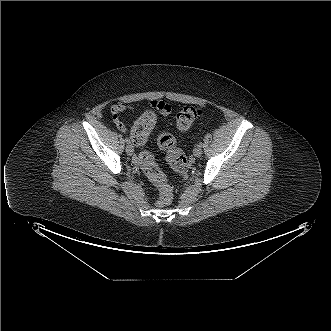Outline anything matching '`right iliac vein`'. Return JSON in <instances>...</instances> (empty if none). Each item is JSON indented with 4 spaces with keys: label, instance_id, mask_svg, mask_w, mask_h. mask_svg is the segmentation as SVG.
<instances>
[{
    "label": "right iliac vein",
    "instance_id": "right-iliac-vein-1",
    "mask_svg": "<svg viewBox=\"0 0 331 331\" xmlns=\"http://www.w3.org/2000/svg\"><path fill=\"white\" fill-rule=\"evenodd\" d=\"M126 152L128 155H132L134 153V147L132 145H127Z\"/></svg>",
    "mask_w": 331,
    "mask_h": 331
}]
</instances>
